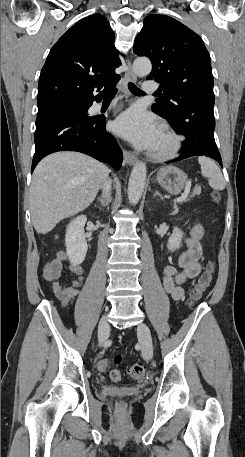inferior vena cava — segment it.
Segmentation results:
<instances>
[{"label": "inferior vena cava", "instance_id": "602c4592", "mask_svg": "<svg viewBox=\"0 0 245 457\" xmlns=\"http://www.w3.org/2000/svg\"><path fill=\"white\" fill-rule=\"evenodd\" d=\"M110 186H111V180H105V182H103V184H102L103 194H107V192H109Z\"/></svg>", "mask_w": 245, "mask_h": 457}]
</instances>
